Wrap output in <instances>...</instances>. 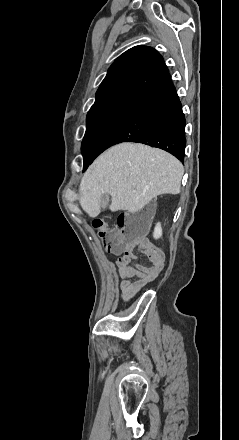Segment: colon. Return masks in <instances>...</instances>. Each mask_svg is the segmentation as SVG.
<instances>
[{"label":"colon","instance_id":"5ec220e1","mask_svg":"<svg viewBox=\"0 0 239 440\" xmlns=\"http://www.w3.org/2000/svg\"><path fill=\"white\" fill-rule=\"evenodd\" d=\"M92 226L110 253L120 254L129 246L139 245L144 241L142 221L135 215L121 216L117 229L107 227L101 219L93 220Z\"/></svg>","mask_w":239,"mask_h":440}]
</instances>
